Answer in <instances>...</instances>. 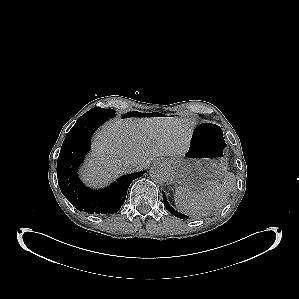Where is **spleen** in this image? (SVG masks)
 <instances>
[{"mask_svg": "<svg viewBox=\"0 0 299 299\" xmlns=\"http://www.w3.org/2000/svg\"><path fill=\"white\" fill-rule=\"evenodd\" d=\"M236 187L233 173H227L223 183H214L202 190H192L187 187H177L174 200L176 207L184 214L201 217L221 208L229 199V194Z\"/></svg>", "mask_w": 299, "mask_h": 299, "instance_id": "spleen-1", "label": "spleen"}]
</instances>
